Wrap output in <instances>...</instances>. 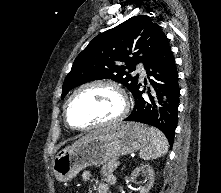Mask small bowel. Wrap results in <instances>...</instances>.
Instances as JSON below:
<instances>
[{"label":"small bowel","mask_w":221,"mask_h":193,"mask_svg":"<svg viewBox=\"0 0 221 193\" xmlns=\"http://www.w3.org/2000/svg\"><path fill=\"white\" fill-rule=\"evenodd\" d=\"M82 179L85 182H90L93 179V174L90 171H84L82 173ZM115 179L112 175L104 176V180L97 185V193H110L109 185L114 184Z\"/></svg>","instance_id":"obj_1"}]
</instances>
